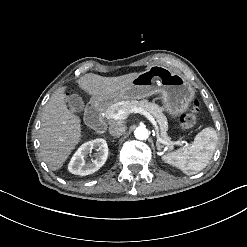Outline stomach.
Returning <instances> with one entry per match:
<instances>
[{
	"instance_id": "stomach-1",
	"label": "stomach",
	"mask_w": 247,
	"mask_h": 247,
	"mask_svg": "<svg viewBox=\"0 0 247 247\" xmlns=\"http://www.w3.org/2000/svg\"><path fill=\"white\" fill-rule=\"evenodd\" d=\"M194 93L191 83L182 74L152 65L145 72L137 74L124 89L92 95L89 104L97 109H105L120 100H141L162 94L168 112L179 114L187 109Z\"/></svg>"
}]
</instances>
